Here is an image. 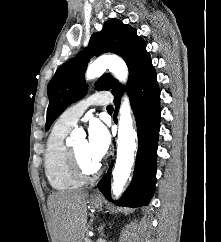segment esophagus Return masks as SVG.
I'll return each instance as SVG.
<instances>
[{
  "instance_id": "obj_1",
  "label": "esophagus",
  "mask_w": 221,
  "mask_h": 242,
  "mask_svg": "<svg viewBox=\"0 0 221 242\" xmlns=\"http://www.w3.org/2000/svg\"><path fill=\"white\" fill-rule=\"evenodd\" d=\"M92 197H100V193L95 190L93 193H92Z\"/></svg>"
}]
</instances>
